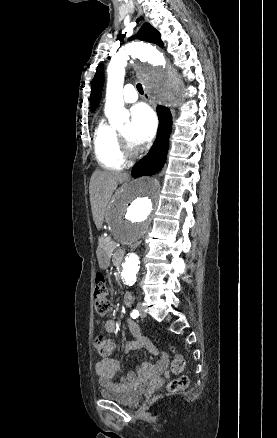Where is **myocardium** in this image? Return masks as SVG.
I'll list each match as a JSON object with an SVG mask.
<instances>
[{
    "label": "myocardium",
    "mask_w": 277,
    "mask_h": 438,
    "mask_svg": "<svg viewBox=\"0 0 277 438\" xmlns=\"http://www.w3.org/2000/svg\"><path fill=\"white\" fill-rule=\"evenodd\" d=\"M118 141L126 156H131L136 152L133 144L120 132L118 133Z\"/></svg>",
    "instance_id": "1"
}]
</instances>
